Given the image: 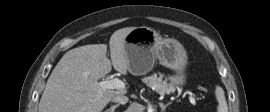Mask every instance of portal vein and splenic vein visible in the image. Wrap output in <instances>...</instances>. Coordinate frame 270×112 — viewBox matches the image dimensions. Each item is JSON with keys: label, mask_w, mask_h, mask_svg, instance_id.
I'll return each mask as SVG.
<instances>
[{"label": "portal vein and splenic vein", "mask_w": 270, "mask_h": 112, "mask_svg": "<svg viewBox=\"0 0 270 112\" xmlns=\"http://www.w3.org/2000/svg\"><path fill=\"white\" fill-rule=\"evenodd\" d=\"M99 86L102 89H124L125 83L119 78H114L112 80L100 81ZM189 100L192 105H196V101L191 95H189Z\"/></svg>", "instance_id": "1"}]
</instances>
